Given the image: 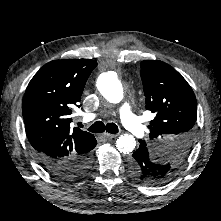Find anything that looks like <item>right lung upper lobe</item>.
Returning <instances> with one entry per match:
<instances>
[{
    "label": "right lung upper lobe",
    "instance_id": "1",
    "mask_svg": "<svg viewBox=\"0 0 221 221\" xmlns=\"http://www.w3.org/2000/svg\"><path fill=\"white\" fill-rule=\"evenodd\" d=\"M96 66L89 59L54 60L34 75L24 94L22 112L36 155L67 163L89 154L97 145L91 133L70 128L72 107L80 102Z\"/></svg>",
    "mask_w": 221,
    "mask_h": 221
}]
</instances>
